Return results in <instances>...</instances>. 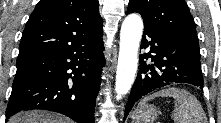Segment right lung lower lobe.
Here are the masks:
<instances>
[{
	"label": "right lung lower lobe",
	"mask_w": 221,
	"mask_h": 123,
	"mask_svg": "<svg viewBox=\"0 0 221 123\" xmlns=\"http://www.w3.org/2000/svg\"><path fill=\"white\" fill-rule=\"evenodd\" d=\"M103 50L100 35L60 50L18 56L6 120L21 110L45 109L77 123H94Z\"/></svg>",
	"instance_id": "obj_1"
}]
</instances>
